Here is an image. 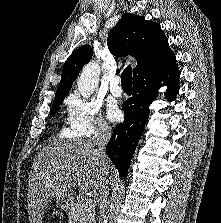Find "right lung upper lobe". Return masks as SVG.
I'll return each mask as SVG.
<instances>
[{"instance_id": "cb5924a9", "label": "right lung upper lobe", "mask_w": 221, "mask_h": 223, "mask_svg": "<svg viewBox=\"0 0 221 223\" xmlns=\"http://www.w3.org/2000/svg\"><path fill=\"white\" fill-rule=\"evenodd\" d=\"M107 44L113 55H130L137 60L133 80L160 74L176 65L175 55L160 25L143 16L125 14L110 31ZM91 57L89 45L79 47L68 57L54 100L66 97L76 76Z\"/></svg>"}]
</instances>
